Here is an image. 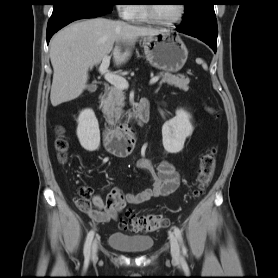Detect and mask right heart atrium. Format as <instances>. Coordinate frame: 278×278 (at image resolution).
Instances as JSON below:
<instances>
[{"instance_id": "right-heart-atrium-1", "label": "right heart atrium", "mask_w": 278, "mask_h": 278, "mask_svg": "<svg viewBox=\"0 0 278 278\" xmlns=\"http://www.w3.org/2000/svg\"><path fill=\"white\" fill-rule=\"evenodd\" d=\"M135 7L136 5L133 4H119L117 5V11L122 18L130 20L134 15Z\"/></svg>"}]
</instances>
